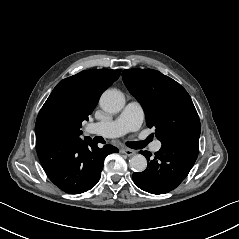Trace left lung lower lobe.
Segmentation results:
<instances>
[{
    "mask_svg": "<svg viewBox=\"0 0 239 239\" xmlns=\"http://www.w3.org/2000/svg\"><path fill=\"white\" fill-rule=\"evenodd\" d=\"M198 147L199 141L192 140L163 143L152 160L149 151H141L150 162L145 171L133 173L134 183L152 194H164L173 190L185 179L194 165Z\"/></svg>",
    "mask_w": 239,
    "mask_h": 239,
    "instance_id": "1",
    "label": "left lung lower lobe"
}]
</instances>
